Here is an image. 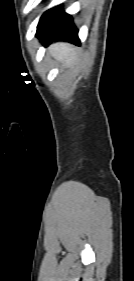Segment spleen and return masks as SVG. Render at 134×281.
Returning a JSON list of instances; mask_svg holds the SVG:
<instances>
[{
  "mask_svg": "<svg viewBox=\"0 0 134 281\" xmlns=\"http://www.w3.org/2000/svg\"><path fill=\"white\" fill-rule=\"evenodd\" d=\"M49 52L64 66H72L77 59L76 49L65 43L51 46Z\"/></svg>",
  "mask_w": 134,
  "mask_h": 281,
  "instance_id": "spleen-1",
  "label": "spleen"
}]
</instances>
